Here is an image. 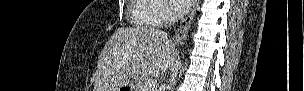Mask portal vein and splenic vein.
Returning a JSON list of instances; mask_svg holds the SVG:
<instances>
[{
  "mask_svg": "<svg viewBox=\"0 0 304 91\" xmlns=\"http://www.w3.org/2000/svg\"><path fill=\"white\" fill-rule=\"evenodd\" d=\"M156 86V80L148 79L144 82L143 91H152Z\"/></svg>",
  "mask_w": 304,
  "mask_h": 91,
  "instance_id": "portal-vein-and-splenic-vein-1",
  "label": "portal vein and splenic vein"
}]
</instances>
